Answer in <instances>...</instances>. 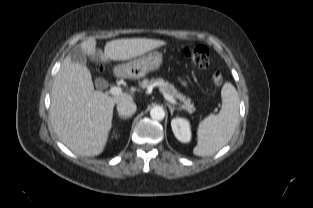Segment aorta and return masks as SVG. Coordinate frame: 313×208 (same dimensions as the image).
<instances>
[{
	"label": "aorta",
	"instance_id": "aorta-1",
	"mask_svg": "<svg viewBox=\"0 0 313 208\" xmlns=\"http://www.w3.org/2000/svg\"><path fill=\"white\" fill-rule=\"evenodd\" d=\"M150 116L154 120H163L165 117V111L161 106H155L150 111Z\"/></svg>",
	"mask_w": 313,
	"mask_h": 208
}]
</instances>
